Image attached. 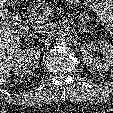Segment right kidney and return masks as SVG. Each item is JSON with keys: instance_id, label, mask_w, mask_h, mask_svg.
I'll use <instances>...</instances> for the list:
<instances>
[{"instance_id": "ca27d5eb", "label": "right kidney", "mask_w": 113, "mask_h": 113, "mask_svg": "<svg viewBox=\"0 0 113 113\" xmlns=\"http://www.w3.org/2000/svg\"><path fill=\"white\" fill-rule=\"evenodd\" d=\"M40 54L41 51L38 47L19 52L14 64V74L21 77L32 74L38 68Z\"/></svg>"}]
</instances>
